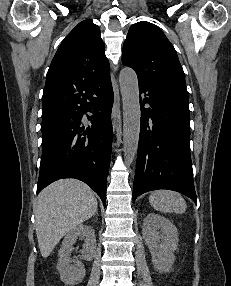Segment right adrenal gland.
Masks as SVG:
<instances>
[{"instance_id":"right-adrenal-gland-1","label":"right adrenal gland","mask_w":231,"mask_h":286,"mask_svg":"<svg viewBox=\"0 0 231 286\" xmlns=\"http://www.w3.org/2000/svg\"><path fill=\"white\" fill-rule=\"evenodd\" d=\"M96 215H98V211H96Z\"/></svg>"}]
</instances>
